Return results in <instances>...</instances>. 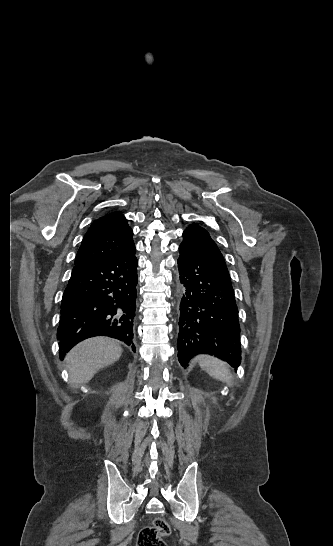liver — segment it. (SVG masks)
Wrapping results in <instances>:
<instances>
[{"label":"liver","instance_id":"6515ba94","mask_svg":"<svg viewBox=\"0 0 333 546\" xmlns=\"http://www.w3.org/2000/svg\"><path fill=\"white\" fill-rule=\"evenodd\" d=\"M121 354V346L113 339L95 337L81 342L65 357L70 385L78 388L88 383L98 370L115 363Z\"/></svg>","mask_w":333,"mask_h":546}]
</instances>
